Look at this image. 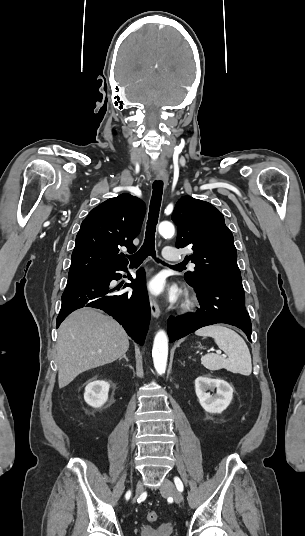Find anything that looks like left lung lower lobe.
<instances>
[{
  "instance_id": "0a47b994",
  "label": "left lung lower lobe",
  "mask_w": 305,
  "mask_h": 536,
  "mask_svg": "<svg viewBox=\"0 0 305 536\" xmlns=\"http://www.w3.org/2000/svg\"><path fill=\"white\" fill-rule=\"evenodd\" d=\"M194 287L201 308L195 313L168 319L170 342L201 327L216 323H226L240 328L251 342V320L245 308L243 286L202 285Z\"/></svg>"
}]
</instances>
